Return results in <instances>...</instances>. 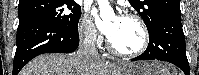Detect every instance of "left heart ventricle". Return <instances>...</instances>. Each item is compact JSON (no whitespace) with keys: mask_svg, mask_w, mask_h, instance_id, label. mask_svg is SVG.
Here are the masks:
<instances>
[{"mask_svg":"<svg viewBox=\"0 0 199 75\" xmlns=\"http://www.w3.org/2000/svg\"><path fill=\"white\" fill-rule=\"evenodd\" d=\"M110 40L122 50L134 51L142 44V32L136 22L122 17L115 34Z\"/></svg>","mask_w":199,"mask_h":75,"instance_id":"obj_1","label":"left heart ventricle"}]
</instances>
